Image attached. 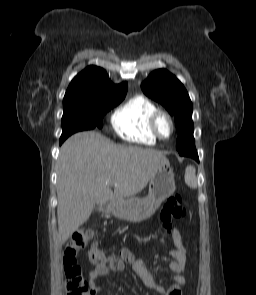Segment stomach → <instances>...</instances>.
<instances>
[{
    "label": "stomach",
    "instance_id": "stomach-1",
    "mask_svg": "<svg viewBox=\"0 0 256 295\" xmlns=\"http://www.w3.org/2000/svg\"><path fill=\"white\" fill-rule=\"evenodd\" d=\"M176 189L174 172L169 161L162 163L149 183V192L145 198H132L116 203L112 214L119 219L140 222L151 217L161 203L171 196Z\"/></svg>",
    "mask_w": 256,
    "mask_h": 295
}]
</instances>
